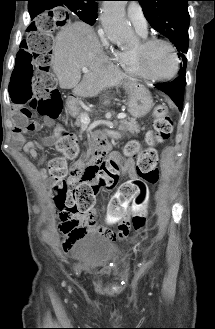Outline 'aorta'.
I'll return each instance as SVG.
<instances>
[{
    "label": "aorta",
    "mask_w": 215,
    "mask_h": 329,
    "mask_svg": "<svg viewBox=\"0 0 215 329\" xmlns=\"http://www.w3.org/2000/svg\"><path fill=\"white\" fill-rule=\"evenodd\" d=\"M126 1H106L101 15L103 28L115 43L130 45L134 40V32L125 18Z\"/></svg>",
    "instance_id": "obj_1"
}]
</instances>
